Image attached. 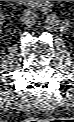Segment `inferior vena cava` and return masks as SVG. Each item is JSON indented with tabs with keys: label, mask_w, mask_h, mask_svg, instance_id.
I'll list each match as a JSON object with an SVG mask.
<instances>
[{
	"label": "inferior vena cava",
	"mask_w": 74,
	"mask_h": 122,
	"mask_svg": "<svg viewBox=\"0 0 74 122\" xmlns=\"http://www.w3.org/2000/svg\"><path fill=\"white\" fill-rule=\"evenodd\" d=\"M36 14L30 9L25 10L21 16V20L28 26L34 25L36 22Z\"/></svg>",
	"instance_id": "1"
}]
</instances>
